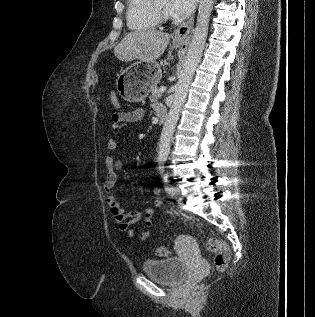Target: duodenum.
<instances>
[{
    "label": "duodenum",
    "mask_w": 315,
    "mask_h": 317,
    "mask_svg": "<svg viewBox=\"0 0 315 317\" xmlns=\"http://www.w3.org/2000/svg\"><path fill=\"white\" fill-rule=\"evenodd\" d=\"M157 115H158V119L160 121L161 124H164L167 120V111L165 108H160L158 111H157Z\"/></svg>",
    "instance_id": "duodenum-1"
}]
</instances>
